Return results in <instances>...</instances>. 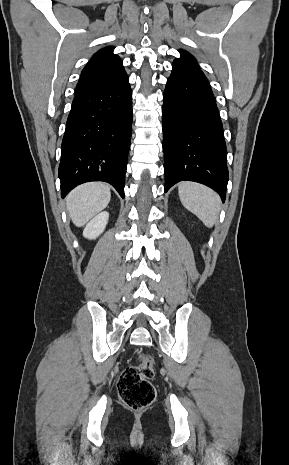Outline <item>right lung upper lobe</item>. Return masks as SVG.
<instances>
[{
	"mask_svg": "<svg viewBox=\"0 0 289 465\" xmlns=\"http://www.w3.org/2000/svg\"><path fill=\"white\" fill-rule=\"evenodd\" d=\"M113 49L108 46L92 56L82 70L75 95L112 86L126 76L122 60Z\"/></svg>",
	"mask_w": 289,
	"mask_h": 465,
	"instance_id": "1",
	"label": "right lung upper lobe"
}]
</instances>
